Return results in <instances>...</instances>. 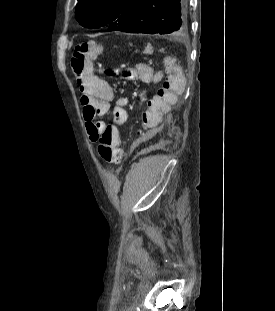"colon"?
Returning a JSON list of instances; mask_svg holds the SVG:
<instances>
[{
    "label": "colon",
    "mask_w": 275,
    "mask_h": 311,
    "mask_svg": "<svg viewBox=\"0 0 275 311\" xmlns=\"http://www.w3.org/2000/svg\"><path fill=\"white\" fill-rule=\"evenodd\" d=\"M100 52L101 48L93 41H85L76 45L71 58V67L76 78L89 73L91 61ZM137 132H141L140 129ZM92 140L98 143V154L104 163L117 164L121 161L122 150L119 148L118 139L110 127L93 136Z\"/></svg>",
    "instance_id": "obj_1"
}]
</instances>
